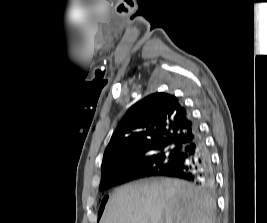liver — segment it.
Masks as SVG:
<instances>
[{"mask_svg":"<svg viewBox=\"0 0 267 223\" xmlns=\"http://www.w3.org/2000/svg\"><path fill=\"white\" fill-rule=\"evenodd\" d=\"M215 208L206 191L188 182L143 179L114 192L102 223H215Z\"/></svg>","mask_w":267,"mask_h":223,"instance_id":"6515ba94","label":"liver"}]
</instances>
